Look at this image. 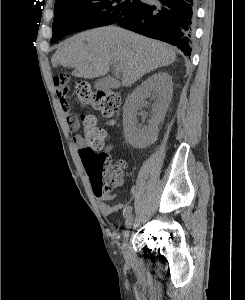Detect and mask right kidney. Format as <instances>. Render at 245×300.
<instances>
[{
  "mask_svg": "<svg viewBox=\"0 0 245 300\" xmlns=\"http://www.w3.org/2000/svg\"><path fill=\"white\" fill-rule=\"evenodd\" d=\"M173 83L168 73L158 72L142 82L126 99L123 126L126 141L134 148H145L157 139L158 125L164 120L172 98ZM153 96V117L148 126L138 124L137 114L147 97Z\"/></svg>",
  "mask_w": 245,
  "mask_h": 300,
  "instance_id": "1",
  "label": "right kidney"
}]
</instances>
